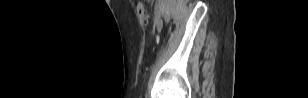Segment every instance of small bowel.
<instances>
[{"label":"small bowel","mask_w":308,"mask_h":98,"mask_svg":"<svg viewBox=\"0 0 308 98\" xmlns=\"http://www.w3.org/2000/svg\"><path fill=\"white\" fill-rule=\"evenodd\" d=\"M156 26H157L158 29L161 28V25L159 23H157Z\"/></svg>","instance_id":"small-bowel-1"}]
</instances>
